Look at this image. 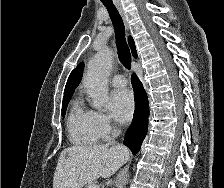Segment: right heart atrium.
Listing matches in <instances>:
<instances>
[{
	"label": "right heart atrium",
	"mask_w": 224,
	"mask_h": 188,
	"mask_svg": "<svg viewBox=\"0 0 224 188\" xmlns=\"http://www.w3.org/2000/svg\"><path fill=\"white\" fill-rule=\"evenodd\" d=\"M88 113L91 126L99 138L105 139L113 133L114 125L109 115L97 110H90Z\"/></svg>",
	"instance_id": "1"
}]
</instances>
